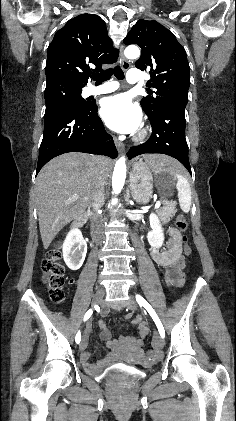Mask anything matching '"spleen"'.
<instances>
[{
	"instance_id": "1",
	"label": "spleen",
	"mask_w": 236,
	"mask_h": 421,
	"mask_svg": "<svg viewBox=\"0 0 236 421\" xmlns=\"http://www.w3.org/2000/svg\"><path fill=\"white\" fill-rule=\"evenodd\" d=\"M174 164L175 162H170V164H166V166H169L170 170H175V176L177 178L176 188L178 190L180 208L183 213H189L192 198L190 182H188L186 176H183V174L178 172L177 168H173Z\"/></svg>"
}]
</instances>
